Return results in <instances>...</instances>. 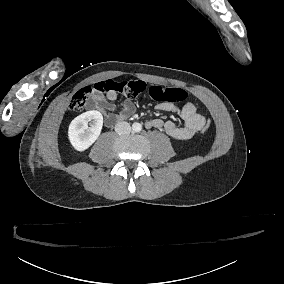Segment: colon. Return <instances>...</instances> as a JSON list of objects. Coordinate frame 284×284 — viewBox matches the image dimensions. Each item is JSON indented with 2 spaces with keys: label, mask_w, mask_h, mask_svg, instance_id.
Listing matches in <instances>:
<instances>
[{
  "label": "colon",
  "mask_w": 284,
  "mask_h": 284,
  "mask_svg": "<svg viewBox=\"0 0 284 284\" xmlns=\"http://www.w3.org/2000/svg\"><path fill=\"white\" fill-rule=\"evenodd\" d=\"M147 86L143 80H130V81H116V80H102L89 85L86 92L80 90L70 99V106L72 109H80L84 101L89 97V94L96 90L98 92H120L127 96L133 97L142 93ZM149 95L156 100H165L171 102L173 100L183 101L187 97V90L183 86H176L174 89L171 87L165 88L160 84H153L149 88ZM212 119H207L202 135H207L212 128Z\"/></svg>",
  "instance_id": "1"
}]
</instances>
